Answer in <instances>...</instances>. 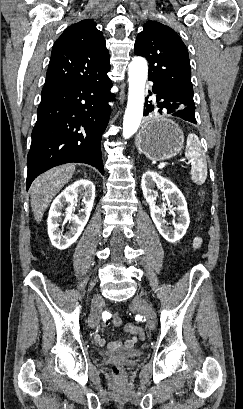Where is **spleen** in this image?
Segmentation results:
<instances>
[{"mask_svg": "<svg viewBox=\"0 0 243 409\" xmlns=\"http://www.w3.org/2000/svg\"><path fill=\"white\" fill-rule=\"evenodd\" d=\"M185 155L191 163L192 181L199 185L203 184L207 178V164L202 157L200 140L193 133L187 137Z\"/></svg>", "mask_w": 243, "mask_h": 409, "instance_id": "3e777b00", "label": "spleen"}]
</instances>
